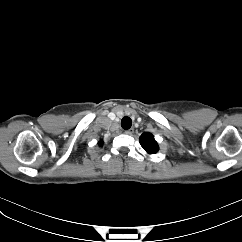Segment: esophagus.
Returning <instances> with one entry per match:
<instances>
[{
  "label": "esophagus",
  "instance_id": "1",
  "mask_svg": "<svg viewBox=\"0 0 242 242\" xmlns=\"http://www.w3.org/2000/svg\"><path fill=\"white\" fill-rule=\"evenodd\" d=\"M125 133L127 135H132L134 133V129L133 128H130V129L126 130Z\"/></svg>",
  "mask_w": 242,
  "mask_h": 242
}]
</instances>
